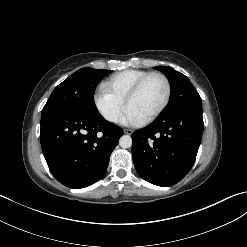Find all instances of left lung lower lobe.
Returning <instances> with one entry per match:
<instances>
[{
    "instance_id": "left-lung-lower-lobe-1",
    "label": "left lung lower lobe",
    "mask_w": 247,
    "mask_h": 247,
    "mask_svg": "<svg viewBox=\"0 0 247 247\" xmlns=\"http://www.w3.org/2000/svg\"><path fill=\"white\" fill-rule=\"evenodd\" d=\"M203 127L202 105H192L165 112L135 131L132 155L139 175L157 186L179 182L195 162Z\"/></svg>"
}]
</instances>
